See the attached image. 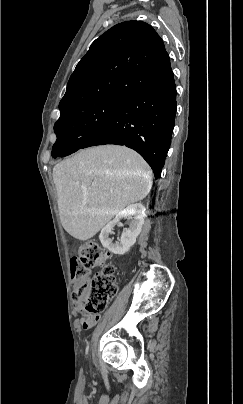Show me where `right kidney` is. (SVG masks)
<instances>
[{
	"label": "right kidney",
	"mask_w": 243,
	"mask_h": 404,
	"mask_svg": "<svg viewBox=\"0 0 243 404\" xmlns=\"http://www.w3.org/2000/svg\"><path fill=\"white\" fill-rule=\"evenodd\" d=\"M121 218H130L131 222L129 228H125L124 232H122L121 240H119L117 244H112L109 234H111L115 224H118ZM144 218L145 208L142 204H131V206H128V208H125L122 212H117L116 218L101 230L99 240L103 248H107L112 254H120V256L129 252L131 246H134L136 238L142 230Z\"/></svg>",
	"instance_id": "ca27d5eb"
}]
</instances>
